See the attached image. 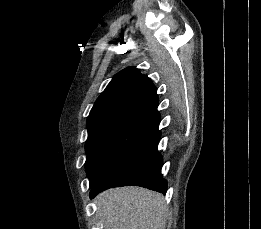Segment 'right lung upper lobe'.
Returning a JSON list of instances; mask_svg holds the SVG:
<instances>
[{"label": "right lung upper lobe", "instance_id": "obj_1", "mask_svg": "<svg viewBox=\"0 0 261 229\" xmlns=\"http://www.w3.org/2000/svg\"><path fill=\"white\" fill-rule=\"evenodd\" d=\"M158 97L152 81L136 68L114 76L87 119V147L126 149L139 130H158Z\"/></svg>", "mask_w": 261, "mask_h": 229}]
</instances>
